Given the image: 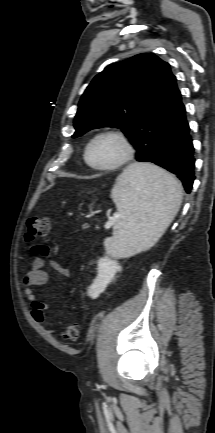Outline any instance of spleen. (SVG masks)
I'll use <instances>...</instances> for the list:
<instances>
[{"label": "spleen", "mask_w": 215, "mask_h": 433, "mask_svg": "<svg viewBox=\"0 0 215 433\" xmlns=\"http://www.w3.org/2000/svg\"><path fill=\"white\" fill-rule=\"evenodd\" d=\"M111 198L118 210L109 254L128 257L150 249L162 237L182 202L180 183L165 170L134 163L117 177Z\"/></svg>", "instance_id": "3e777b00"}]
</instances>
